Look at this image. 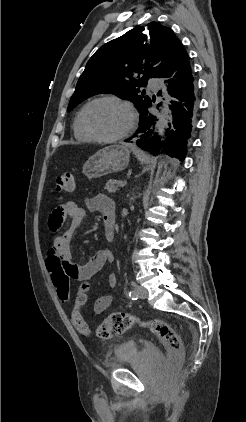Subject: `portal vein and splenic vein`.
<instances>
[{
	"mask_svg": "<svg viewBox=\"0 0 246 422\" xmlns=\"http://www.w3.org/2000/svg\"><path fill=\"white\" fill-rule=\"evenodd\" d=\"M127 185V181H124V182H122V183H120L117 187H124V186H126ZM116 187V188H117Z\"/></svg>",
	"mask_w": 246,
	"mask_h": 422,
	"instance_id": "1",
	"label": "portal vein and splenic vein"
}]
</instances>
